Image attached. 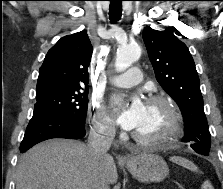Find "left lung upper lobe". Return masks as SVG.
I'll use <instances>...</instances> for the list:
<instances>
[{"label": "left lung upper lobe", "mask_w": 223, "mask_h": 189, "mask_svg": "<svg viewBox=\"0 0 223 189\" xmlns=\"http://www.w3.org/2000/svg\"><path fill=\"white\" fill-rule=\"evenodd\" d=\"M143 40L157 81L178 104L184 119L183 142L193 141L197 153L209 154L211 136L204 113L200 81L187 48L175 35L146 27Z\"/></svg>", "instance_id": "left-lung-upper-lobe-1"}]
</instances>
